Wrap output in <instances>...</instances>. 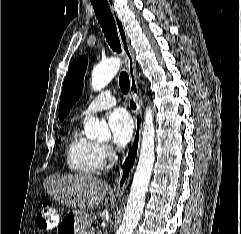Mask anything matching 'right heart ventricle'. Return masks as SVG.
<instances>
[{"label":"right heart ventricle","mask_w":241,"mask_h":234,"mask_svg":"<svg viewBox=\"0 0 241 234\" xmlns=\"http://www.w3.org/2000/svg\"><path fill=\"white\" fill-rule=\"evenodd\" d=\"M66 162L69 169L79 175H93L103 167L101 146L74 128L66 142Z\"/></svg>","instance_id":"right-heart-ventricle-1"}]
</instances>
